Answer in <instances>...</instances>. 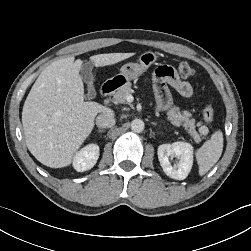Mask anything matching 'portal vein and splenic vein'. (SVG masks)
Returning <instances> with one entry per match:
<instances>
[{"mask_svg": "<svg viewBox=\"0 0 251 251\" xmlns=\"http://www.w3.org/2000/svg\"><path fill=\"white\" fill-rule=\"evenodd\" d=\"M126 100H127V101H130V100H131V96H129V95L126 96Z\"/></svg>", "mask_w": 251, "mask_h": 251, "instance_id": "obj_1", "label": "portal vein and splenic vein"}]
</instances>
